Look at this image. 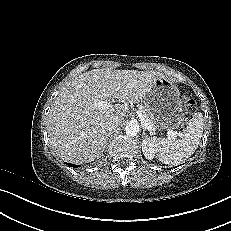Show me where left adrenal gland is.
Returning a JSON list of instances; mask_svg holds the SVG:
<instances>
[{"instance_id": "1", "label": "left adrenal gland", "mask_w": 231, "mask_h": 231, "mask_svg": "<svg viewBox=\"0 0 231 231\" xmlns=\"http://www.w3.org/2000/svg\"><path fill=\"white\" fill-rule=\"evenodd\" d=\"M145 135H146V134H145V130H143V135H142V137L144 138V137H145Z\"/></svg>"}]
</instances>
